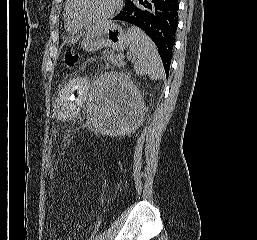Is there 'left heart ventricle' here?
<instances>
[{
  "label": "left heart ventricle",
  "mask_w": 257,
  "mask_h": 240,
  "mask_svg": "<svg viewBox=\"0 0 257 240\" xmlns=\"http://www.w3.org/2000/svg\"><path fill=\"white\" fill-rule=\"evenodd\" d=\"M114 0H75L74 12L84 21L92 20L107 13Z\"/></svg>",
  "instance_id": "1"
}]
</instances>
